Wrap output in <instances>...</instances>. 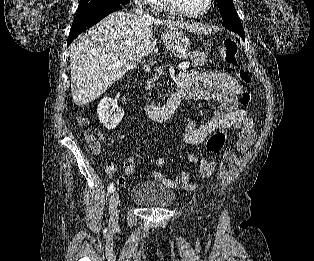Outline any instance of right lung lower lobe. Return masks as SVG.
<instances>
[{
  "label": "right lung lower lobe",
  "instance_id": "obj_1",
  "mask_svg": "<svg viewBox=\"0 0 314 261\" xmlns=\"http://www.w3.org/2000/svg\"><path fill=\"white\" fill-rule=\"evenodd\" d=\"M122 9L121 4H113L109 6H105L102 8H99L97 10H94L90 13H87L83 16L75 17L72 28L70 30V34L67 41V46L82 32L86 31L91 26L98 23L100 20H102L105 16L108 14Z\"/></svg>",
  "mask_w": 314,
  "mask_h": 261
}]
</instances>
